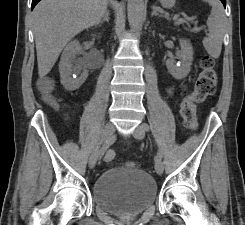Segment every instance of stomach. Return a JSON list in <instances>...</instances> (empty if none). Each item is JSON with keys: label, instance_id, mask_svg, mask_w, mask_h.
Here are the masks:
<instances>
[{"label": "stomach", "instance_id": "0dacf381", "mask_svg": "<svg viewBox=\"0 0 245 225\" xmlns=\"http://www.w3.org/2000/svg\"><path fill=\"white\" fill-rule=\"evenodd\" d=\"M163 7L170 8L175 4V0H160Z\"/></svg>", "mask_w": 245, "mask_h": 225}]
</instances>
